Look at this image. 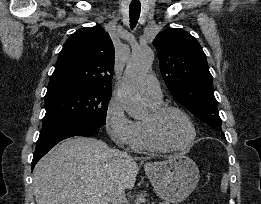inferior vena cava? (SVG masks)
Returning a JSON list of instances; mask_svg holds the SVG:
<instances>
[{
  "mask_svg": "<svg viewBox=\"0 0 261 204\" xmlns=\"http://www.w3.org/2000/svg\"><path fill=\"white\" fill-rule=\"evenodd\" d=\"M109 202L111 204H124L126 202L124 187L114 186L109 192Z\"/></svg>",
  "mask_w": 261,
  "mask_h": 204,
  "instance_id": "inferior-vena-cava-1",
  "label": "inferior vena cava"
}]
</instances>
